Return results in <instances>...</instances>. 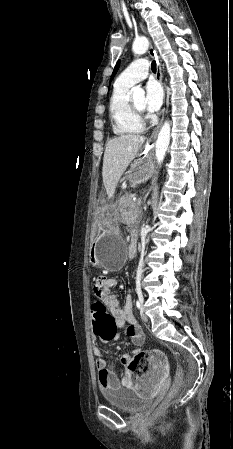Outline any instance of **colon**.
<instances>
[{
  "mask_svg": "<svg viewBox=\"0 0 233 449\" xmlns=\"http://www.w3.org/2000/svg\"><path fill=\"white\" fill-rule=\"evenodd\" d=\"M89 323L92 333L97 334L101 343H113L117 338L118 331L115 329V320L108 314L104 301H93L90 307ZM127 375H139L144 368L148 367L149 356L147 352H138L133 356H125L122 359ZM183 373L178 371L174 383L169 391V398L176 396L183 385Z\"/></svg>",
  "mask_w": 233,
  "mask_h": 449,
  "instance_id": "5ec220e1",
  "label": "colon"
}]
</instances>
